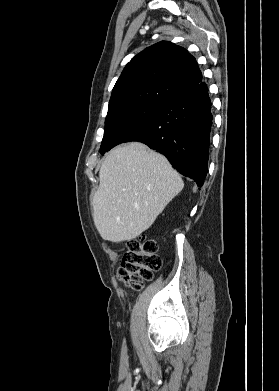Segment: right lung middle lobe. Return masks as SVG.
I'll list each match as a JSON object with an SVG mask.
<instances>
[{"mask_svg":"<svg viewBox=\"0 0 279 391\" xmlns=\"http://www.w3.org/2000/svg\"><path fill=\"white\" fill-rule=\"evenodd\" d=\"M162 106V104L142 103L108 112L100 147L101 154L125 142L132 134L149 125Z\"/></svg>","mask_w":279,"mask_h":391,"instance_id":"1","label":"right lung middle lobe"}]
</instances>
